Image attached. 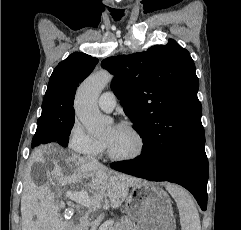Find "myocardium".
<instances>
[{"instance_id":"f54148a6","label":"myocardium","mask_w":241,"mask_h":230,"mask_svg":"<svg viewBox=\"0 0 241 230\" xmlns=\"http://www.w3.org/2000/svg\"><path fill=\"white\" fill-rule=\"evenodd\" d=\"M118 126H123V127L127 128L128 130H130L132 132V134L135 136L138 146H137L136 151L134 153H132L131 155L117 156L114 153H112L109 145L106 142H104V148H105L106 154L109 157V159H111L112 161L120 162V163H126V162H131V161H134V160L140 158L143 155V153L145 151V147H146L145 139H144L143 135L141 134V132L130 122H122V123L118 124Z\"/></svg>"}]
</instances>
